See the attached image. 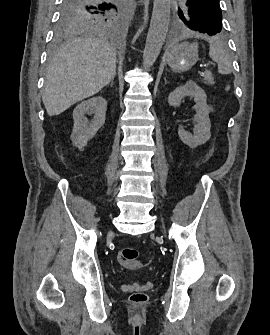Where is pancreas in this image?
<instances>
[{
  "mask_svg": "<svg viewBox=\"0 0 270 335\" xmlns=\"http://www.w3.org/2000/svg\"><path fill=\"white\" fill-rule=\"evenodd\" d=\"M203 78H204V80H206V82H204V84H215L214 78H212L211 72H205Z\"/></svg>",
  "mask_w": 270,
  "mask_h": 335,
  "instance_id": "pancreas-1",
  "label": "pancreas"
}]
</instances>
